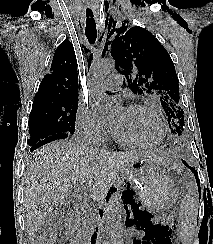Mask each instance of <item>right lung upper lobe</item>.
Instances as JSON below:
<instances>
[{"label": "right lung upper lobe", "instance_id": "cb5924a9", "mask_svg": "<svg viewBox=\"0 0 213 244\" xmlns=\"http://www.w3.org/2000/svg\"><path fill=\"white\" fill-rule=\"evenodd\" d=\"M80 82L77 75V60L72 43L63 41L56 49L51 73L44 76L34 99L77 98Z\"/></svg>", "mask_w": 213, "mask_h": 244}]
</instances>
